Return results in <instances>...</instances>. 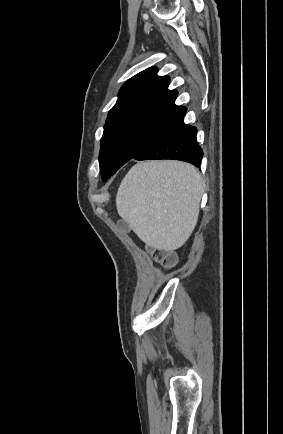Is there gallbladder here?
I'll use <instances>...</instances> for the list:
<instances>
[{
    "instance_id": "gallbladder-1",
    "label": "gallbladder",
    "mask_w": 283,
    "mask_h": 434,
    "mask_svg": "<svg viewBox=\"0 0 283 434\" xmlns=\"http://www.w3.org/2000/svg\"><path fill=\"white\" fill-rule=\"evenodd\" d=\"M118 225L123 228L126 232L130 231V226L126 221H119Z\"/></svg>"
}]
</instances>
